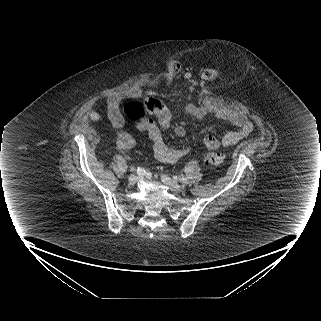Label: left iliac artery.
<instances>
[{
    "label": "left iliac artery",
    "instance_id": "1",
    "mask_svg": "<svg viewBox=\"0 0 321 321\" xmlns=\"http://www.w3.org/2000/svg\"><path fill=\"white\" fill-rule=\"evenodd\" d=\"M179 181L183 184V185H187L188 184V180L185 177H180Z\"/></svg>",
    "mask_w": 321,
    "mask_h": 321
}]
</instances>
